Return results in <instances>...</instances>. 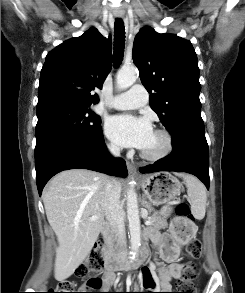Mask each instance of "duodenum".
<instances>
[{"label": "duodenum", "instance_id": "obj_1", "mask_svg": "<svg viewBox=\"0 0 245 293\" xmlns=\"http://www.w3.org/2000/svg\"><path fill=\"white\" fill-rule=\"evenodd\" d=\"M112 225L107 223L101 230V235L106 240L109 239ZM146 251L142 250L140 257L145 256ZM104 266L108 271H117V270H131L139 269L141 266V260L135 259L130 261L123 252L116 253H106L104 256Z\"/></svg>", "mask_w": 245, "mask_h": 293}]
</instances>
